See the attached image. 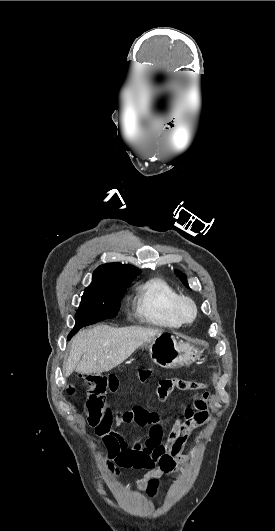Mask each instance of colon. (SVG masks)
Segmentation results:
<instances>
[{
	"instance_id": "1",
	"label": "colon",
	"mask_w": 275,
	"mask_h": 531,
	"mask_svg": "<svg viewBox=\"0 0 275 531\" xmlns=\"http://www.w3.org/2000/svg\"><path fill=\"white\" fill-rule=\"evenodd\" d=\"M108 377H115L113 375L98 376L95 373L80 374L72 381L73 388L83 396L91 395L87 401V410L84 413L85 420L93 424L102 423L105 417V399L107 393L106 384ZM206 386L204 383L194 380H189L180 377H166L161 378L157 383L156 391L151 394L153 402H166L168 397L173 392H202ZM74 389H70L73 392ZM150 481L153 484L147 486L146 494L149 497L155 496L157 491L162 486L161 481L156 476H152Z\"/></svg>"
}]
</instances>
